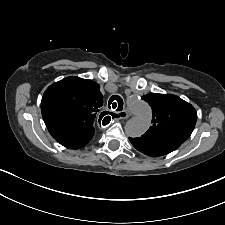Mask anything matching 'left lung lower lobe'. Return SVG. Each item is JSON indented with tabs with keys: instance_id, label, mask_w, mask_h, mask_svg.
I'll use <instances>...</instances> for the list:
<instances>
[{
	"instance_id": "left-lung-lower-lobe-1",
	"label": "left lung lower lobe",
	"mask_w": 225,
	"mask_h": 225,
	"mask_svg": "<svg viewBox=\"0 0 225 225\" xmlns=\"http://www.w3.org/2000/svg\"><path fill=\"white\" fill-rule=\"evenodd\" d=\"M129 140L138 151L150 157L166 155L181 145L180 143L155 141L143 137L129 138Z\"/></svg>"
}]
</instances>
